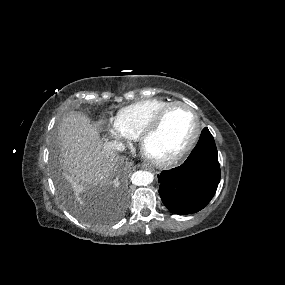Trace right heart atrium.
<instances>
[{
	"mask_svg": "<svg viewBox=\"0 0 285 285\" xmlns=\"http://www.w3.org/2000/svg\"><path fill=\"white\" fill-rule=\"evenodd\" d=\"M104 132L112 138L119 147H124L136 139V136L126 130L118 121L112 117L103 126Z\"/></svg>",
	"mask_w": 285,
	"mask_h": 285,
	"instance_id": "d8ad5b80",
	"label": "right heart atrium"
}]
</instances>
